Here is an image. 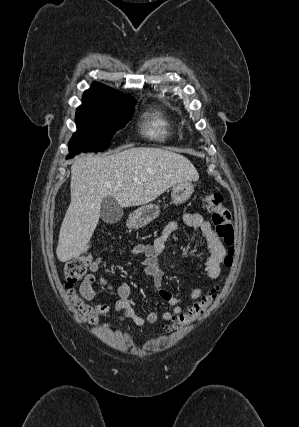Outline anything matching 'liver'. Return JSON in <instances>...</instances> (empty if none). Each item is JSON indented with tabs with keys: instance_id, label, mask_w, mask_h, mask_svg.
<instances>
[{
	"instance_id": "liver-1",
	"label": "liver",
	"mask_w": 299,
	"mask_h": 427,
	"mask_svg": "<svg viewBox=\"0 0 299 427\" xmlns=\"http://www.w3.org/2000/svg\"><path fill=\"white\" fill-rule=\"evenodd\" d=\"M198 179L196 168L186 157L159 148L76 157L71 166V202L56 249L59 261L67 262L88 250L106 197H113L121 208L145 205L177 183Z\"/></svg>"
}]
</instances>
